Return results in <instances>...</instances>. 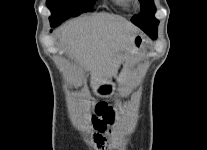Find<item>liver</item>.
I'll return each instance as SVG.
<instances>
[{
    "instance_id": "liver-1",
    "label": "liver",
    "mask_w": 207,
    "mask_h": 150,
    "mask_svg": "<svg viewBox=\"0 0 207 150\" xmlns=\"http://www.w3.org/2000/svg\"><path fill=\"white\" fill-rule=\"evenodd\" d=\"M137 31L120 16L98 13L69 22L59 35V45L90 72L95 88L116 74L121 53L132 50ZM82 82L80 77L78 83Z\"/></svg>"
}]
</instances>
